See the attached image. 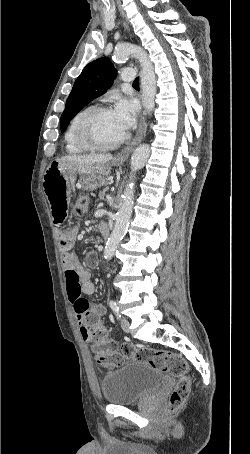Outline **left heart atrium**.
<instances>
[{"mask_svg": "<svg viewBox=\"0 0 250 454\" xmlns=\"http://www.w3.org/2000/svg\"><path fill=\"white\" fill-rule=\"evenodd\" d=\"M138 106L134 100L119 98L112 110L119 126L126 132L135 123Z\"/></svg>", "mask_w": 250, "mask_h": 454, "instance_id": "obj_1", "label": "left heart atrium"}]
</instances>
